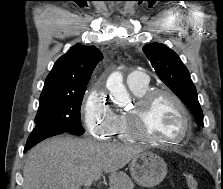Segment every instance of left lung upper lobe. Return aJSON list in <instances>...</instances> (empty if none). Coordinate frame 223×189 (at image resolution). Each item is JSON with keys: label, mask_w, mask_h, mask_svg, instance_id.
<instances>
[{"label": "left lung upper lobe", "mask_w": 223, "mask_h": 189, "mask_svg": "<svg viewBox=\"0 0 223 189\" xmlns=\"http://www.w3.org/2000/svg\"><path fill=\"white\" fill-rule=\"evenodd\" d=\"M158 77L187 105L197 124L203 125V112L198 102L196 88L186 66L178 55L161 43L143 47Z\"/></svg>", "instance_id": "5c2ea615"}]
</instances>
